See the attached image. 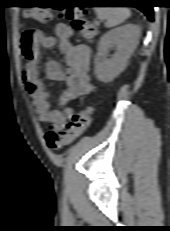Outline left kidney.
I'll return each instance as SVG.
<instances>
[{
	"instance_id": "left-kidney-1",
	"label": "left kidney",
	"mask_w": 170,
	"mask_h": 231,
	"mask_svg": "<svg viewBox=\"0 0 170 231\" xmlns=\"http://www.w3.org/2000/svg\"><path fill=\"white\" fill-rule=\"evenodd\" d=\"M139 37L140 27L129 23L110 30L100 38L95 57V75L99 81L110 82L126 68ZM113 47L117 51L108 59L109 50Z\"/></svg>"
}]
</instances>
